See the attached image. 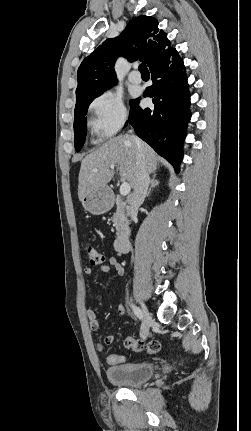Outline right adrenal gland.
<instances>
[{
  "instance_id": "obj_1",
  "label": "right adrenal gland",
  "mask_w": 251,
  "mask_h": 431,
  "mask_svg": "<svg viewBox=\"0 0 251 431\" xmlns=\"http://www.w3.org/2000/svg\"><path fill=\"white\" fill-rule=\"evenodd\" d=\"M159 180L157 179V175L156 174H154V175H152V178H151V181H150V187H149V189H148V191H147V194H146V197H148L149 196V194H150V192H151V189L152 188H154V187H156V186H158L159 185Z\"/></svg>"
}]
</instances>
